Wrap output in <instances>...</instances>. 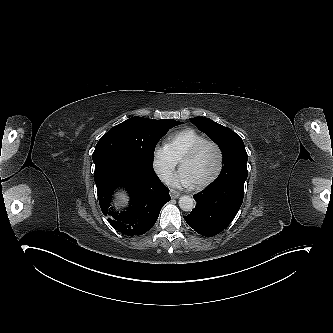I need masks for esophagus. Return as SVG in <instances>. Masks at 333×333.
<instances>
[{
    "mask_svg": "<svg viewBox=\"0 0 333 333\" xmlns=\"http://www.w3.org/2000/svg\"><path fill=\"white\" fill-rule=\"evenodd\" d=\"M170 196L173 199H177L180 196V193L174 189H170Z\"/></svg>",
    "mask_w": 333,
    "mask_h": 333,
    "instance_id": "esophagus-1",
    "label": "esophagus"
}]
</instances>
